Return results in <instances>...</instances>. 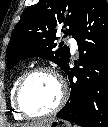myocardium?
Returning a JSON list of instances; mask_svg holds the SVG:
<instances>
[{
    "mask_svg": "<svg viewBox=\"0 0 108 127\" xmlns=\"http://www.w3.org/2000/svg\"><path fill=\"white\" fill-rule=\"evenodd\" d=\"M38 73H48L52 75L58 81L59 86H60V97H59L57 104L50 111L43 113V114H33V113L28 112L23 107L22 100H21L22 92H23V89L26 83L32 76ZM67 98H68V87H67V84L64 78L58 72H56L54 69L50 67L39 66V67L30 69L29 71L24 73L22 77L20 78L17 84L16 90H15V93H14V105L17 111L23 117L30 118V119H37V118L48 117V116L54 115L57 112H59L62 109V107L65 105Z\"/></svg>",
    "mask_w": 108,
    "mask_h": 127,
    "instance_id": "myocardium-1",
    "label": "myocardium"
}]
</instances>
